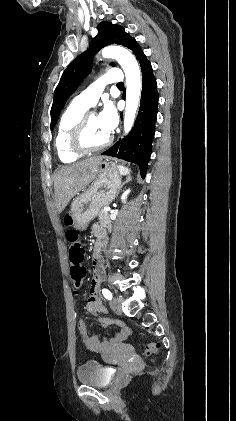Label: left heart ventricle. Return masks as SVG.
Listing matches in <instances>:
<instances>
[{
    "label": "left heart ventricle",
    "instance_id": "b2bd125f",
    "mask_svg": "<svg viewBox=\"0 0 236 421\" xmlns=\"http://www.w3.org/2000/svg\"><path fill=\"white\" fill-rule=\"evenodd\" d=\"M108 136L109 133L101 124L99 115L95 112H92L84 128L85 143L89 146H96L103 143Z\"/></svg>",
    "mask_w": 236,
    "mask_h": 421
}]
</instances>
